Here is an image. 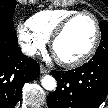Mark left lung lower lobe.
<instances>
[{
    "label": "left lung lower lobe",
    "mask_w": 108,
    "mask_h": 108,
    "mask_svg": "<svg viewBox=\"0 0 108 108\" xmlns=\"http://www.w3.org/2000/svg\"><path fill=\"white\" fill-rule=\"evenodd\" d=\"M52 74L58 85L47 98L49 108H98L108 94V54H95L82 67Z\"/></svg>",
    "instance_id": "obj_1"
}]
</instances>
